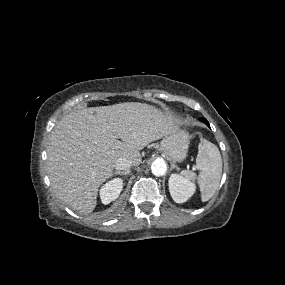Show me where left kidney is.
I'll use <instances>...</instances> for the list:
<instances>
[{
  "mask_svg": "<svg viewBox=\"0 0 285 285\" xmlns=\"http://www.w3.org/2000/svg\"><path fill=\"white\" fill-rule=\"evenodd\" d=\"M196 190L193 182L179 174H172L169 178V191L176 203L186 202Z\"/></svg>",
  "mask_w": 285,
  "mask_h": 285,
  "instance_id": "5707ae66",
  "label": "left kidney"
}]
</instances>
